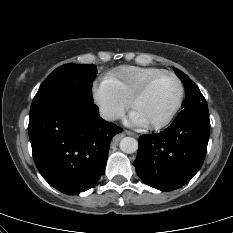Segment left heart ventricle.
<instances>
[{
  "mask_svg": "<svg viewBox=\"0 0 233 233\" xmlns=\"http://www.w3.org/2000/svg\"><path fill=\"white\" fill-rule=\"evenodd\" d=\"M178 94L176 81L168 76L162 77L134 105L132 112L139 115L146 124L161 121L175 105Z\"/></svg>",
  "mask_w": 233,
  "mask_h": 233,
  "instance_id": "obj_1",
  "label": "left heart ventricle"
}]
</instances>
